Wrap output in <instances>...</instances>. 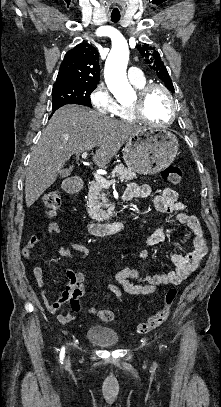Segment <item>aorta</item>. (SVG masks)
Segmentation results:
<instances>
[{
  "label": "aorta",
  "mask_w": 221,
  "mask_h": 407,
  "mask_svg": "<svg viewBox=\"0 0 221 407\" xmlns=\"http://www.w3.org/2000/svg\"><path fill=\"white\" fill-rule=\"evenodd\" d=\"M129 50L126 43L114 45L105 63V81L112 94L119 100L133 98L134 90L128 82L126 68Z\"/></svg>",
  "instance_id": "obj_1"
}]
</instances>
